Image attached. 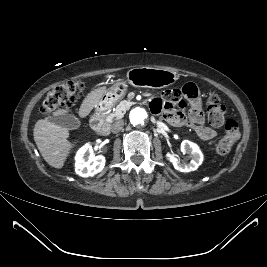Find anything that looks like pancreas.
<instances>
[{
    "label": "pancreas",
    "mask_w": 267,
    "mask_h": 267,
    "mask_svg": "<svg viewBox=\"0 0 267 267\" xmlns=\"http://www.w3.org/2000/svg\"><path fill=\"white\" fill-rule=\"evenodd\" d=\"M125 112H126V107L122 106V103H120L119 105H117L114 112L106 115L105 121L107 123H112L114 120L121 119L124 116Z\"/></svg>",
    "instance_id": "1"
}]
</instances>
